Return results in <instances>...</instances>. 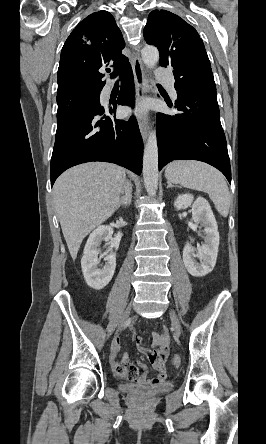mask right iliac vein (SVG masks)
I'll use <instances>...</instances> for the list:
<instances>
[{
	"label": "right iliac vein",
	"instance_id": "63e3f726",
	"mask_svg": "<svg viewBox=\"0 0 266 444\" xmlns=\"http://www.w3.org/2000/svg\"><path fill=\"white\" fill-rule=\"evenodd\" d=\"M130 313H131V307L129 306V307L125 310V312H124V314H123V316H122V318H121V320H120V323H119V325H118V329H117V331H120V330L125 326L126 321H127V319L129 318V316H130Z\"/></svg>",
	"mask_w": 266,
	"mask_h": 444
}]
</instances>
